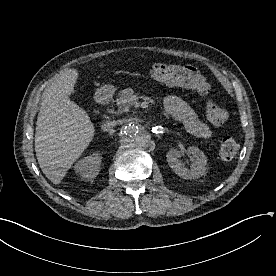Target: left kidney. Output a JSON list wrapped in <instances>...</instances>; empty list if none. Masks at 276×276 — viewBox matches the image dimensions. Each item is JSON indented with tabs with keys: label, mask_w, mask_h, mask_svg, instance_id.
Masks as SVG:
<instances>
[{
	"label": "left kidney",
	"mask_w": 276,
	"mask_h": 276,
	"mask_svg": "<svg viewBox=\"0 0 276 276\" xmlns=\"http://www.w3.org/2000/svg\"><path fill=\"white\" fill-rule=\"evenodd\" d=\"M188 153L192 155L194 161L191 164V168H186L180 161L179 157L181 152L178 149L171 148L167 152V162L171 169L180 177L184 179H198L206 174L207 170V158L205 154L197 147L190 146Z\"/></svg>",
	"instance_id": "obj_1"
}]
</instances>
